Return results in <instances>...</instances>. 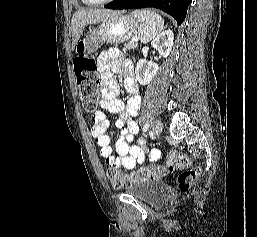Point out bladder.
<instances>
[{
	"label": "bladder",
	"mask_w": 257,
	"mask_h": 237,
	"mask_svg": "<svg viewBox=\"0 0 257 237\" xmlns=\"http://www.w3.org/2000/svg\"><path fill=\"white\" fill-rule=\"evenodd\" d=\"M126 193L142 202L156 204L164 199L166 190L164 185L157 180H145L135 182L128 186L126 188Z\"/></svg>",
	"instance_id": "31cf9c89"
}]
</instances>
